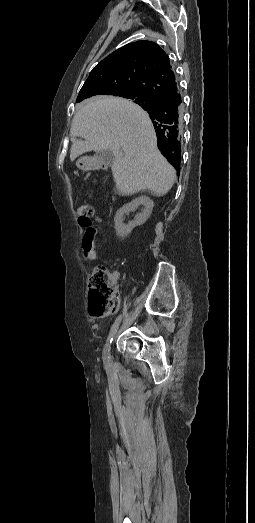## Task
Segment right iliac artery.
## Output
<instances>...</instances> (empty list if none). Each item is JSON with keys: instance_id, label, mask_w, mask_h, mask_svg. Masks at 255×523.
<instances>
[{"instance_id": "82829eb1", "label": "right iliac artery", "mask_w": 255, "mask_h": 523, "mask_svg": "<svg viewBox=\"0 0 255 523\" xmlns=\"http://www.w3.org/2000/svg\"><path fill=\"white\" fill-rule=\"evenodd\" d=\"M120 320H121V315H119L114 324L112 325L111 327V330H110V333H109V336H108V339H107V343L104 347V350H103V362L106 366H109V350H110V344L113 340V337H114V334L116 333L117 329H118V326H119V323H120Z\"/></svg>"}]
</instances>
